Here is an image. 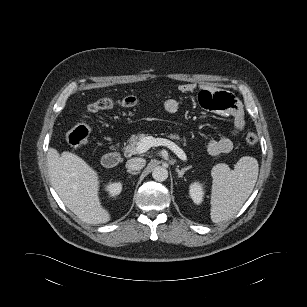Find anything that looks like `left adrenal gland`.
<instances>
[{
    "label": "left adrenal gland",
    "mask_w": 307,
    "mask_h": 307,
    "mask_svg": "<svg viewBox=\"0 0 307 307\" xmlns=\"http://www.w3.org/2000/svg\"><path fill=\"white\" fill-rule=\"evenodd\" d=\"M191 167H192V166L190 165V166H188V167L182 168L181 170H180L179 168H176V172L178 173V177H179V178H182L183 175L185 174V172H186L187 170L191 169Z\"/></svg>",
    "instance_id": "obj_1"
}]
</instances>
